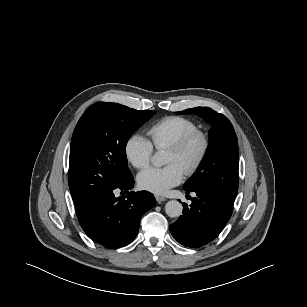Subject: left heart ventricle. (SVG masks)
<instances>
[{
    "label": "left heart ventricle",
    "mask_w": 307,
    "mask_h": 307,
    "mask_svg": "<svg viewBox=\"0 0 307 307\" xmlns=\"http://www.w3.org/2000/svg\"><path fill=\"white\" fill-rule=\"evenodd\" d=\"M199 147V142L195 141L187 148V150L183 154H176L174 152L167 151L165 157V164H176L184 171L188 164L194 159V157L198 153Z\"/></svg>",
    "instance_id": "1"
}]
</instances>
